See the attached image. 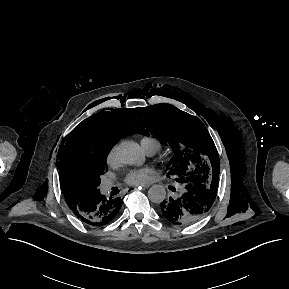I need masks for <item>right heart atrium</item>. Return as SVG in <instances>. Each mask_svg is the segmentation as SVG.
<instances>
[{
	"label": "right heart atrium",
	"mask_w": 289,
	"mask_h": 289,
	"mask_svg": "<svg viewBox=\"0 0 289 289\" xmlns=\"http://www.w3.org/2000/svg\"><path fill=\"white\" fill-rule=\"evenodd\" d=\"M117 158V148L116 146L112 147L107 155V162L109 164H112L116 161Z\"/></svg>",
	"instance_id": "right-heart-atrium-1"
}]
</instances>
